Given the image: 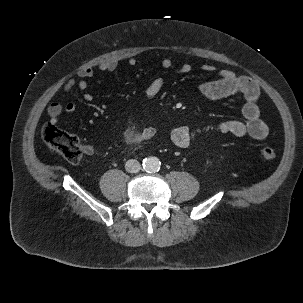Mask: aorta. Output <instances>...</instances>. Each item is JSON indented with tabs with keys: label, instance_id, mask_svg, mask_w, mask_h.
Here are the masks:
<instances>
[{
	"label": "aorta",
	"instance_id": "aorta-1",
	"mask_svg": "<svg viewBox=\"0 0 303 303\" xmlns=\"http://www.w3.org/2000/svg\"><path fill=\"white\" fill-rule=\"evenodd\" d=\"M142 165L146 172L153 173L160 170L161 162L157 157L150 156L143 160Z\"/></svg>",
	"mask_w": 303,
	"mask_h": 303
}]
</instances>
